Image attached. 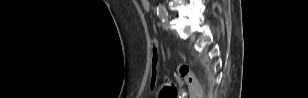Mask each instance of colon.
Returning a JSON list of instances; mask_svg holds the SVG:
<instances>
[{
	"label": "colon",
	"instance_id": "1",
	"mask_svg": "<svg viewBox=\"0 0 308 98\" xmlns=\"http://www.w3.org/2000/svg\"><path fill=\"white\" fill-rule=\"evenodd\" d=\"M159 64V52L154 45L152 51V74H151V89H157V68ZM179 76L186 83L191 98H202L203 89L194 75L192 69L187 64H180L177 68ZM177 88L176 85L167 81L159 87V98H176Z\"/></svg>",
	"mask_w": 308,
	"mask_h": 98
}]
</instances>
